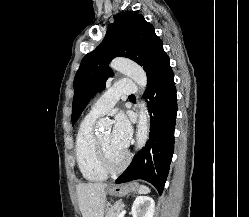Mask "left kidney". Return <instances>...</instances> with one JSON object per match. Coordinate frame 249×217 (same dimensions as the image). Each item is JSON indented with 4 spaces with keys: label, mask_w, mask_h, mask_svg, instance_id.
<instances>
[{
    "label": "left kidney",
    "mask_w": 249,
    "mask_h": 217,
    "mask_svg": "<svg viewBox=\"0 0 249 217\" xmlns=\"http://www.w3.org/2000/svg\"><path fill=\"white\" fill-rule=\"evenodd\" d=\"M155 202L149 196H137L132 205V217H153Z\"/></svg>",
    "instance_id": "obj_1"
}]
</instances>
